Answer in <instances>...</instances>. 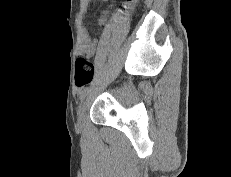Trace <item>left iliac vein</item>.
<instances>
[{"instance_id": "left-iliac-vein-1", "label": "left iliac vein", "mask_w": 231, "mask_h": 177, "mask_svg": "<svg viewBox=\"0 0 231 177\" xmlns=\"http://www.w3.org/2000/svg\"><path fill=\"white\" fill-rule=\"evenodd\" d=\"M86 107H87V101L84 100V101L81 102V104H80V106L78 108V113H77V127L79 129H82L83 126H84Z\"/></svg>"}]
</instances>
